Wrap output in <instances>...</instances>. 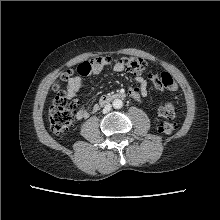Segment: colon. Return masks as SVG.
Masks as SVG:
<instances>
[{"label": "colon", "mask_w": 220, "mask_h": 220, "mask_svg": "<svg viewBox=\"0 0 220 220\" xmlns=\"http://www.w3.org/2000/svg\"><path fill=\"white\" fill-rule=\"evenodd\" d=\"M111 61L110 57H98L95 62L101 64L102 62ZM126 68L134 73L141 74L145 71L147 63L140 57L130 56L122 59ZM91 68L84 65V73L90 74ZM73 75L72 70H67L61 74L58 82L53 86L55 98L49 111L50 128L56 135H61L66 132L75 120L77 113V101L73 99L69 90V82ZM151 81L154 86L161 90L172 92L177 89L175 79L171 74L163 72L160 75H151ZM159 115L163 121L159 126V131L163 134H170L175 129L174 123L169 120L175 117V108L171 103H165L159 109Z\"/></svg>", "instance_id": "1"}]
</instances>
